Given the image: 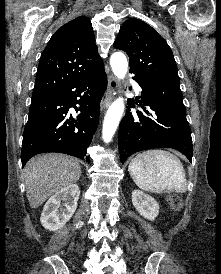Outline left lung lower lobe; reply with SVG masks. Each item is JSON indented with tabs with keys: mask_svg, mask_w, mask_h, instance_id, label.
<instances>
[{
	"mask_svg": "<svg viewBox=\"0 0 221 274\" xmlns=\"http://www.w3.org/2000/svg\"><path fill=\"white\" fill-rule=\"evenodd\" d=\"M133 79L142 88L141 100L136 101L142 109H132L135 101L129 99L118 132L121 162L133 153L158 147L176 149L192 161L191 130L182 94L159 89L139 74Z\"/></svg>",
	"mask_w": 221,
	"mask_h": 274,
	"instance_id": "obj_1",
	"label": "left lung lower lobe"
}]
</instances>
